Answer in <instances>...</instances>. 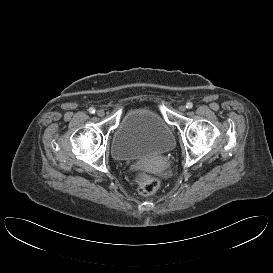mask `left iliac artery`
I'll return each mask as SVG.
<instances>
[{"label": "left iliac artery", "instance_id": "obj_1", "mask_svg": "<svg viewBox=\"0 0 273 273\" xmlns=\"http://www.w3.org/2000/svg\"><path fill=\"white\" fill-rule=\"evenodd\" d=\"M193 107V104L191 102H188L186 104V108L191 109Z\"/></svg>", "mask_w": 273, "mask_h": 273}]
</instances>
